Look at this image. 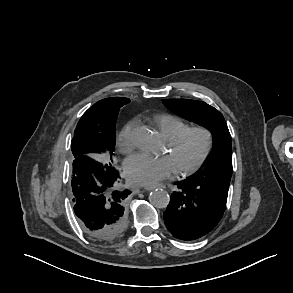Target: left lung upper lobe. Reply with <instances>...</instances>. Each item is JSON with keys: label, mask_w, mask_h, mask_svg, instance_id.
I'll use <instances>...</instances> for the list:
<instances>
[{"label": "left lung upper lobe", "mask_w": 293, "mask_h": 293, "mask_svg": "<svg viewBox=\"0 0 293 293\" xmlns=\"http://www.w3.org/2000/svg\"><path fill=\"white\" fill-rule=\"evenodd\" d=\"M164 105L175 114L198 123L213 135L210 159L204 168L192 177L205 183H230L232 168V139L223 115L205 102L190 99H164Z\"/></svg>", "instance_id": "5c2ea615"}]
</instances>
